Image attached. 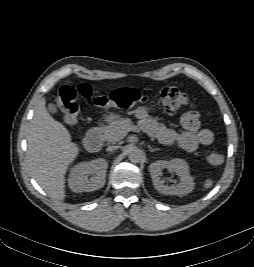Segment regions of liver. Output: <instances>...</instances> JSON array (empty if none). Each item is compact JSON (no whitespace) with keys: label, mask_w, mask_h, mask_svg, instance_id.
Instances as JSON below:
<instances>
[{"label":"liver","mask_w":254,"mask_h":267,"mask_svg":"<svg viewBox=\"0 0 254 267\" xmlns=\"http://www.w3.org/2000/svg\"><path fill=\"white\" fill-rule=\"evenodd\" d=\"M42 98L27 134V162L32 176L53 199H65V175L79 154V147L63 124L56 121Z\"/></svg>","instance_id":"6515ba94"}]
</instances>
